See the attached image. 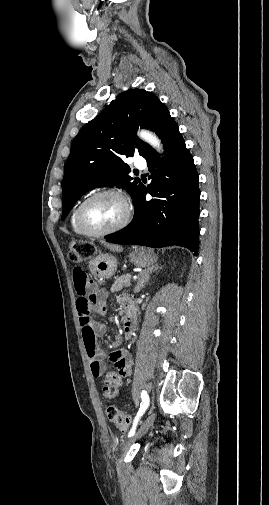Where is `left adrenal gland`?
Masks as SVG:
<instances>
[{
	"instance_id": "left-adrenal-gland-1",
	"label": "left adrenal gland",
	"mask_w": 269,
	"mask_h": 505,
	"mask_svg": "<svg viewBox=\"0 0 269 505\" xmlns=\"http://www.w3.org/2000/svg\"><path fill=\"white\" fill-rule=\"evenodd\" d=\"M160 268L161 267L156 264V265L151 266V267L143 270L142 272H140L138 280H137V284L134 288V292L139 293L145 287L146 283H148L151 274L156 272Z\"/></svg>"
}]
</instances>
